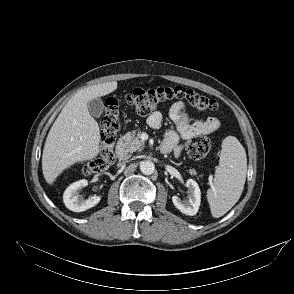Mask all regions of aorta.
<instances>
[{
  "instance_id": "aorta-1",
  "label": "aorta",
  "mask_w": 294,
  "mask_h": 294,
  "mask_svg": "<svg viewBox=\"0 0 294 294\" xmlns=\"http://www.w3.org/2000/svg\"><path fill=\"white\" fill-rule=\"evenodd\" d=\"M155 170V165L150 160H145L140 163V171L144 175H151Z\"/></svg>"
}]
</instances>
